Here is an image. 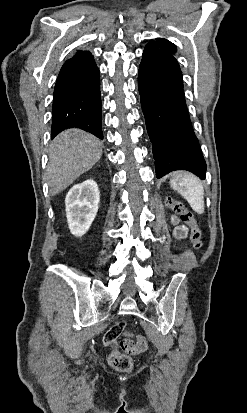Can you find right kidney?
Segmentation results:
<instances>
[{"mask_svg":"<svg viewBox=\"0 0 247 413\" xmlns=\"http://www.w3.org/2000/svg\"><path fill=\"white\" fill-rule=\"evenodd\" d=\"M100 192L92 178L74 184L66 194L65 207L69 229L75 237H82L91 227L98 211Z\"/></svg>","mask_w":247,"mask_h":413,"instance_id":"obj_1","label":"right kidney"}]
</instances>
